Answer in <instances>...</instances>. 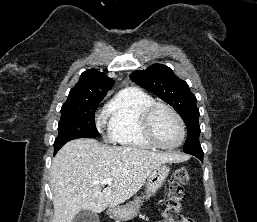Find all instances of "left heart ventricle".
Segmentation results:
<instances>
[{"mask_svg": "<svg viewBox=\"0 0 257 222\" xmlns=\"http://www.w3.org/2000/svg\"><path fill=\"white\" fill-rule=\"evenodd\" d=\"M156 139L164 145H174L180 139V128L175 117L166 109H159L152 119Z\"/></svg>", "mask_w": 257, "mask_h": 222, "instance_id": "b2bd125f", "label": "left heart ventricle"}]
</instances>
